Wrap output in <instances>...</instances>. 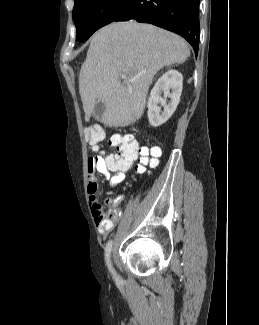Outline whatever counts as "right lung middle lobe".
I'll use <instances>...</instances> for the list:
<instances>
[{
  "mask_svg": "<svg viewBox=\"0 0 259 325\" xmlns=\"http://www.w3.org/2000/svg\"><path fill=\"white\" fill-rule=\"evenodd\" d=\"M72 12L76 40L86 41L96 30L111 23L127 0H74Z\"/></svg>",
  "mask_w": 259,
  "mask_h": 325,
  "instance_id": "1",
  "label": "right lung middle lobe"
}]
</instances>
